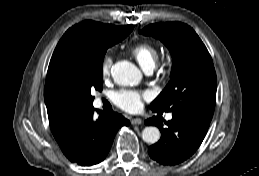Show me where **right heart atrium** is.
<instances>
[{
	"label": "right heart atrium",
	"instance_id": "obj_1",
	"mask_svg": "<svg viewBox=\"0 0 259 176\" xmlns=\"http://www.w3.org/2000/svg\"><path fill=\"white\" fill-rule=\"evenodd\" d=\"M113 65V58L110 55H106L101 63V74L104 78L111 74V69Z\"/></svg>",
	"mask_w": 259,
	"mask_h": 176
}]
</instances>
